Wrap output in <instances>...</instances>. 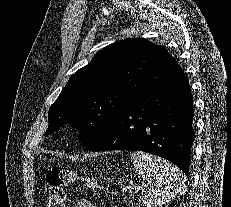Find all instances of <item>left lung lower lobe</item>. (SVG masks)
Instances as JSON below:
<instances>
[{"mask_svg":"<svg viewBox=\"0 0 231 207\" xmlns=\"http://www.w3.org/2000/svg\"><path fill=\"white\" fill-rule=\"evenodd\" d=\"M193 117L189 81L166 51L150 73L145 89L89 149L146 151L169 160L188 176Z\"/></svg>","mask_w":231,"mask_h":207,"instance_id":"1","label":"left lung lower lobe"}]
</instances>
